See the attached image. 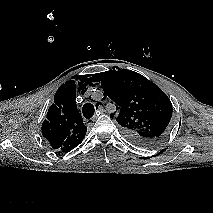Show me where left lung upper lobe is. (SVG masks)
Instances as JSON below:
<instances>
[{
	"instance_id": "obj_1",
	"label": "left lung upper lobe",
	"mask_w": 213,
	"mask_h": 213,
	"mask_svg": "<svg viewBox=\"0 0 213 213\" xmlns=\"http://www.w3.org/2000/svg\"><path fill=\"white\" fill-rule=\"evenodd\" d=\"M100 80L104 97L115 102L117 122L130 141L151 146L164 138L173 108L156 84L137 72L114 67L101 73Z\"/></svg>"
}]
</instances>
